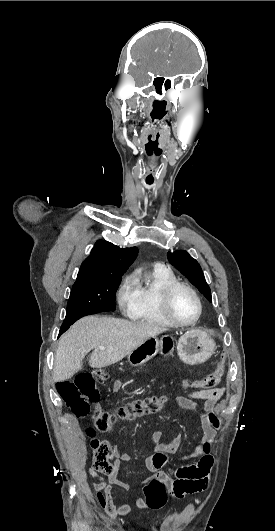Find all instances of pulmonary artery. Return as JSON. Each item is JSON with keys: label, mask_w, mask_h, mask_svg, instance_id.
<instances>
[{"label": "pulmonary artery", "mask_w": 275, "mask_h": 531, "mask_svg": "<svg viewBox=\"0 0 275 531\" xmlns=\"http://www.w3.org/2000/svg\"><path fill=\"white\" fill-rule=\"evenodd\" d=\"M155 269H156L158 272H163V271L166 269V264H165L163 261H158V262L155 264Z\"/></svg>", "instance_id": "pulmonary-artery-1"}]
</instances>
